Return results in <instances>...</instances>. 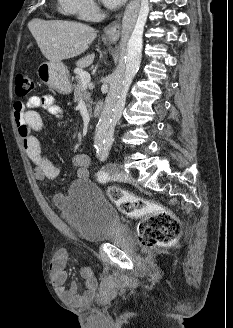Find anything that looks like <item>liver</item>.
<instances>
[{"label":"liver","mask_w":233,"mask_h":328,"mask_svg":"<svg viewBox=\"0 0 233 328\" xmlns=\"http://www.w3.org/2000/svg\"><path fill=\"white\" fill-rule=\"evenodd\" d=\"M30 31L42 54L50 62H60L84 53L97 36V31L89 25L51 20H34ZM95 54H89L77 61L80 68L91 65Z\"/></svg>","instance_id":"6515ba94"}]
</instances>
